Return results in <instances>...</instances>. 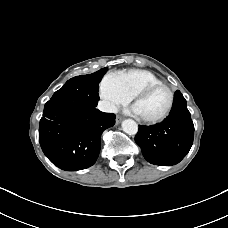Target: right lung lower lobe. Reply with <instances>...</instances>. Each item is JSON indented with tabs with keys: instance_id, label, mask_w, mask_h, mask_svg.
<instances>
[{
	"instance_id": "right-lung-lower-lobe-1",
	"label": "right lung lower lobe",
	"mask_w": 228,
	"mask_h": 228,
	"mask_svg": "<svg viewBox=\"0 0 228 228\" xmlns=\"http://www.w3.org/2000/svg\"><path fill=\"white\" fill-rule=\"evenodd\" d=\"M114 124V114L96 107L48 101L40 120L39 142L47 158L60 169H86L98 158L102 132Z\"/></svg>"
}]
</instances>
